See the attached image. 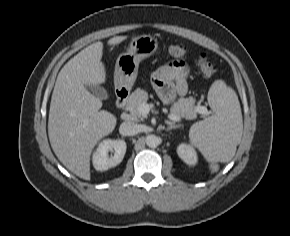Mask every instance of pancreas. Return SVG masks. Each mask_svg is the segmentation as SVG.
Returning a JSON list of instances; mask_svg holds the SVG:
<instances>
[{
  "label": "pancreas",
  "mask_w": 290,
  "mask_h": 236,
  "mask_svg": "<svg viewBox=\"0 0 290 236\" xmlns=\"http://www.w3.org/2000/svg\"><path fill=\"white\" fill-rule=\"evenodd\" d=\"M148 100V93L143 89H136L128 99L126 110L130 112L132 120H139L146 118L140 112L139 108L142 104H146ZM198 107L195 105V100L192 97L180 98L170 108L173 115L180 116L186 120H192L197 117Z\"/></svg>",
  "instance_id": "cf45deb5"
}]
</instances>
